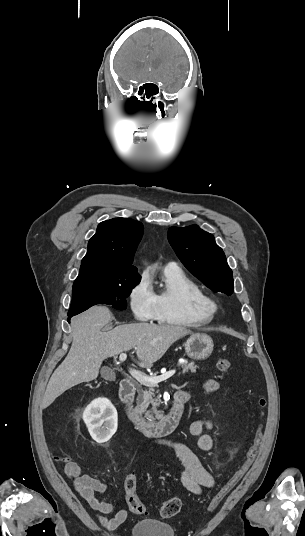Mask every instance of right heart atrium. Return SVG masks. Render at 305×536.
Returning a JSON list of instances; mask_svg holds the SVG:
<instances>
[{
    "instance_id": "1",
    "label": "right heart atrium",
    "mask_w": 305,
    "mask_h": 536,
    "mask_svg": "<svg viewBox=\"0 0 305 536\" xmlns=\"http://www.w3.org/2000/svg\"><path fill=\"white\" fill-rule=\"evenodd\" d=\"M127 303L137 320H155L157 312L155 296L146 277H139V279L131 286L127 294Z\"/></svg>"
}]
</instances>
